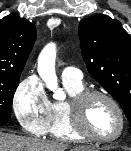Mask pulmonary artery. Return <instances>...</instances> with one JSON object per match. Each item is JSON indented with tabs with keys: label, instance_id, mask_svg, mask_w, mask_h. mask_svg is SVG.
<instances>
[{
	"label": "pulmonary artery",
	"instance_id": "pulmonary-artery-1",
	"mask_svg": "<svg viewBox=\"0 0 131 151\" xmlns=\"http://www.w3.org/2000/svg\"><path fill=\"white\" fill-rule=\"evenodd\" d=\"M63 80L79 82L82 80V72L73 66H67L61 73Z\"/></svg>",
	"mask_w": 131,
	"mask_h": 151
}]
</instances>
